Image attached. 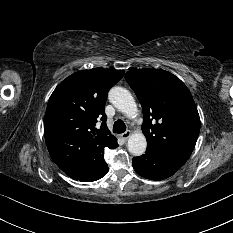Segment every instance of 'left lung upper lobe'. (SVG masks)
Returning a JSON list of instances; mask_svg holds the SVG:
<instances>
[{
    "mask_svg": "<svg viewBox=\"0 0 233 233\" xmlns=\"http://www.w3.org/2000/svg\"><path fill=\"white\" fill-rule=\"evenodd\" d=\"M125 79L143 108L147 148L189 158L200 131V118L186 85L158 69H133Z\"/></svg>",
    "mask_w": 233,
    "mask_h": 233,
    "instance_id": "5c2ea615",
    "label": "left lung upper lobe"
}]
</instances>
